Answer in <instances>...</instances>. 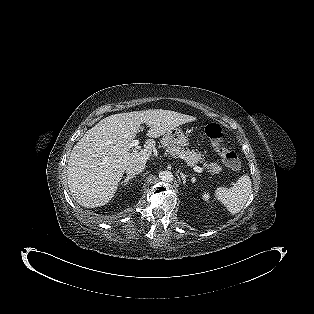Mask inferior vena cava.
Returning a JSON list of instances; mask_svg holds the SVG:
<instances>
[{"label": "inferior vena cava", "instance_id": "602c4592", "mask_svg": "<svg viewBox=\"0 0 314 314\" xmlns=\"http://www.w3.org/2000/svg\"><path fill=\"white\" fill-rule=\"evenodd\" d=\"M144 169H145V163L134 162L126 168V173L129 176H135V175L141 173Z\"/></svg>", "mask_w": 314, "mask_h": 314}]
</instances>
